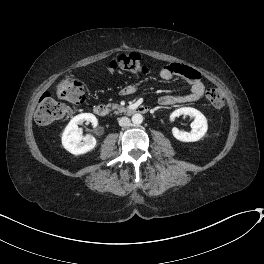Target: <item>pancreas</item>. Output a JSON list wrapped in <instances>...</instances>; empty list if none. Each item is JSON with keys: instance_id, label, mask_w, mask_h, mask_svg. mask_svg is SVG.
Listing matches in <instances>:
<instances>
[{"instance_id": "obj_1", "label": "pancreas", "mask_w": 264, "mask_h": 264, "mask_svg": "<svg viewBox=\"0 0 264 264\" xmlns=\"http://www.w3.org/2000/svg\"><path fill=\"white\" fill-rule=\"evenodd\" d=\"M109 106H110L113 110H116V112H118V113H122V112L125 111V108L122 107V106H120V105H118V104H110Z\"/></svg>"}]
</instances>
